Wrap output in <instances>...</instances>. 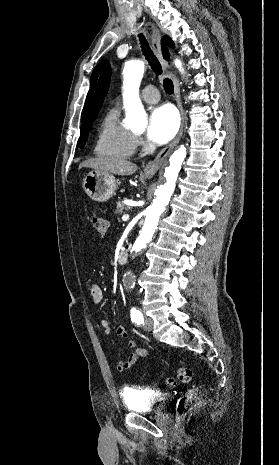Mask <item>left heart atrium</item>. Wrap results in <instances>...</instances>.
Masks as SVG:
<instances>
[{"mask_svg":"<svg viewBox=\"0 0 279 465\" xmlns=\"http://www.w3.org/2000/svg\"><path fill=\"white\" fill-rule=\"evenodd\" d=\"M179 127V118L175 109L170 105H161L152 110L147 126L146 135L155 144L170 141Z\"/></svg>","mask_w":279,"mask_h":465,"instance_id":"left-heart-atrium-1","label":"left heart atrium"}]
</instances>
